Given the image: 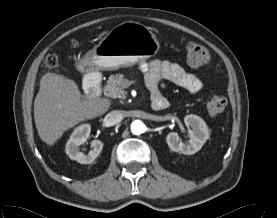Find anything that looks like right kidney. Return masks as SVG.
Segmentation results:
<instances>
[{
  "instance_id": "ca27d5eb",
  "label": "right kidney",
  "mask_w": 277,
  "mask_h": 218,
  "mask_svg": "<svg viewBox=\"0 0 277 218\" xmlns=\"http://www.w3.org/2000/svg\"><path fill=\"white\" fill-rule=\"evenodd\" d=\"M91 131L89 124H82L74 129L66 144V153L72 160H76L81 164L92 163L103 149V143L100 140H93L91 142L92 150L86 155L79 151V146L84 144Z\"/></svg>"
}]
</instances>
